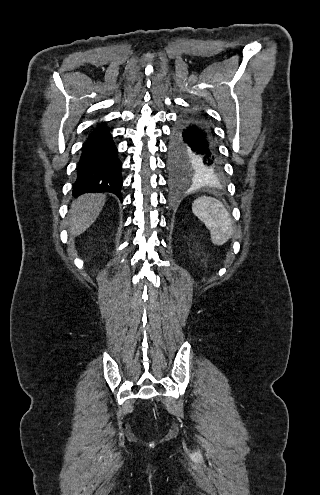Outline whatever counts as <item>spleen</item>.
<instances>
[{"mask_svg":"<svg viewBox=\"0 0 320 495\" xmlns=\"http://www.w3.org/2000/svg\"><path fill=\"white\" fill-rule=\"evenodd\" d=\"M192 211L209 229L214 245H224L231 238L230 214L220 201L213 197L202 196L194 201Z\"/></svg>","mask_w":320,"mask_h":495,"instance_id":"1","label":"spleen"}]
</instances>
